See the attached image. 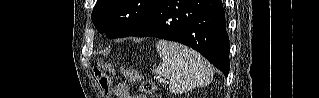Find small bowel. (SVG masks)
Wrapping results in <instances>:
<instances>
[{"label":"small bowel","mask_w":319,"mask_h":98,"mask_svg":"<svg viewBox=\"0 0 319 98\" xmlns=\"http://www.w3.org/2000/svg\"><path fill=\"white\" fill-rule=\"evenodd\" d=\"M115 94L119 97V98H131V96L129 95V87L126 84H118L115 87Z\"/></svg>","instance_id":"1"}]
</instances>
